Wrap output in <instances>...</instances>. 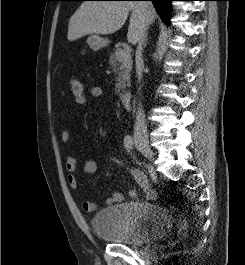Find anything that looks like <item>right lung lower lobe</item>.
Wrapping results in <instances>:
<instances>
[{
  "label": "right lung lower lobe",
  "mask_w": 245,
  "mask_h": 265,
  "mask_svg": "<svg viewBox=\"0 0 245 265\" xmlns=\"http://www.w3.org/2000/svg\"><path fill=\"white\" fill-rule=\"evenodd\" d=\"M127 1H139V0H127ZM152 1L157 12L160 14L162 20L166 24H170V12H171V1L174 0H148Z\"/></svg>",
  "instance_id": "right-lung-lower-lobe-1"
}]
</instances>
